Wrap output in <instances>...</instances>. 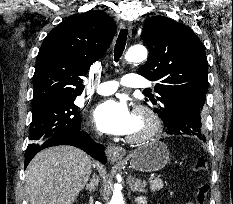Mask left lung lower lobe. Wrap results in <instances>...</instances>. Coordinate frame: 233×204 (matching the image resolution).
Returning <instances> with one entry per match:
<instances>
[{"label":"left lung lower lobe","mask_w":233,"mask_h":204,"mask_svg":"<svg viewBox=\"0 0 233 204\" xmlns=\"http://www.w3.org/2000/svg\"><path fill=\"white\" fill-rule=\"evenodd\" d=\"M205 103V98H204ZM203 100L194 97L180 96L170 101L165 106V115L162 120L165 123L167 134L178 135L182 129L198 131L196 135L201 140L206 141V137L199 132L201 128V110ZM189 135V134H187Z\"/></svg>","instance_id":"left-lung-lower-lobe-1"}]
</instances>
